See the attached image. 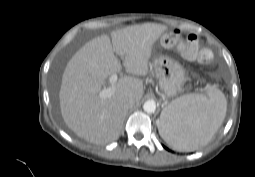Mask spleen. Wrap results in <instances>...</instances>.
I'll list each match as a JSON object with an SVG mask.
<instances>
[{
	"instance_id": "obj_1",
	"label": "spleen",
	"mask_w": 255,
	"mask_h": 177,
	"mask_svg": "<svg viewBox=\"0 0 255 177\" xmlns=\"http://www.w3.org/2000/svg\"><path fill=\"white\" fill-rule=\"evenodd\" d=\"M226 110V98L216 88L210 89L208 96H181L162 111L160 134L177 151L195 150L211 141L224 121Z\"/></svg>"
}]
</instances>
